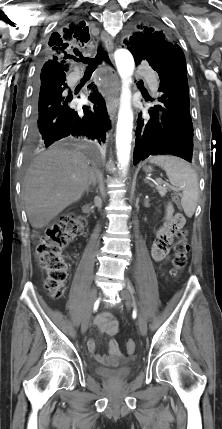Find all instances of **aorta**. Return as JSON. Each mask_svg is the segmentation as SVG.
Returning a JSON list of instances; mask_svg holds the SVG:
<instances>
[{
	"label": "aorta",
	"mask_w": 222,
	"mask_h": 429,
	"mask_svg": "<svg viewBox=\"0 0 222 429\" xmlns=\"http://www.w3.org/2000/svg\"><path fill=\"white\" fill-rule=\"evenodd\" d=\"M115 62L123 82L116 129V149L119 166L123 174H126L130 160L133 129V112L129 86L134 71V59L128 50L119 49L115 52Z\"/></svg>",
	"instance_id": "obj_1"
}]
</instances>
